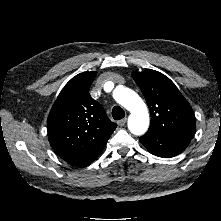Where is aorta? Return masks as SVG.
<instances>
[{"instance_id":"1","label":"aorta","mask_w":221,"mask_h":221,"mask_svg":"<svg viewBox=\"0 0 221 221\" xmlns=\"http://www.w3.org/2000/svg\"><path fill=\"white\" fill-rule=\"evenodd\" d=\"M113 98L128 111V128L135 135L144 134L149 127V113L143 100L129 88L117 87L113 92Z\"/></svg>"}]
</instances>
